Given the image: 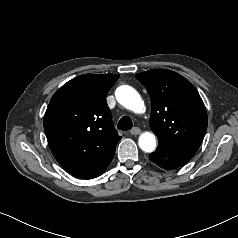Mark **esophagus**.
<instances>
[{
	"mask_svg": "<svg viewBox=\"0 0 238 238\" xmlns=\"http://www.w3.org/2000/svg\"><path fill=\"white\" fill-rule=\"evenodd\" d=\"M141 133V130L138 127H134L130 130L131 135H139Z\"/></svg>",
	"mask_w": 238,
	"mask_h": 238,
	"instance_id": "obj_1",
	"label": "esophagus"
}]
</instances>
